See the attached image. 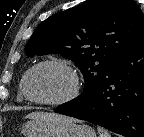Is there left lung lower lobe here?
I'll list each match as a JSON object with an SVG mask.
<instances>
[{"instance_id": "obj_1", "label": "left lung lower lobe", "mask_w": 144, "mask_h": 137, "mask_svg": "<svg viewBox=\"0 0 144 137\" xmlns=\"http://www.w3.org/2000/svg\"><path fill=\"white\" fill-rule=\"evenodd\" d=\"M125 137H144V28L96 87L55 110Z\"/></svg>"}]
</instances>
